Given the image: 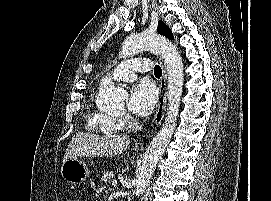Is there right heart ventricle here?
I'll list each match as a JSON object with an SVG mask.
<instances>
[{
    "label": "right heart ventricle",
    "mask_w": 271,
    "mask_h": 201,
    "mask_svg": "<svg viewBox=\"0 0 271 201\" xmlns=\"http://www.w3.org/2000/svg\"><path fill=\"white\" fill-rule=\"evenodd\" d=\"M111 117L103 112H88L87 123L91 131L102 134L118 133L121 127Z\"/></svg>",
    "instance_id": "right-heart-ventricle-1"
}]
</instances>
